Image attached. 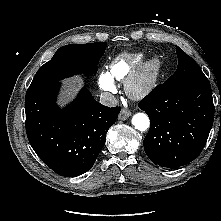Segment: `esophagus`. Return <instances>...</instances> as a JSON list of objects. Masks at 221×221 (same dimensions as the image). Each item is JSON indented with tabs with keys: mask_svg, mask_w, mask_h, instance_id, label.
<instances>
[{
	"mask_svg": "<svg viewBox=\"0 0 221 221\" xmlns=\"http://www.w3.org/2000/svg\"><path fill=\"white\" fill-rule=\"evenodd\" d=\"M130 115H131V112L129 110L122 109L119 116H118V119L119 120H126Z\"/></svg>",
	"mask_w": 221,
	"mask_h": 221,
	"instance_id": "1",
	"label": "esophagus"
}]
</instances>
